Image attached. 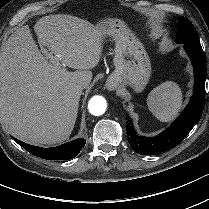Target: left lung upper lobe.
Masks as SVG:
<instances>
[{
	"label": "left lung upper lobe",
	"instance_id": "obj_1",
	"mask_svg": "<svg viewBox=\"0 0 209 209\" xmlns=\"http://www.w3.org/2000/svg\"><path fill=\"white\" fill-rule=\"evenodd\" d=\"M177 43L199 42L196 30L192 23L185 17H181L178 22Z\"/></svg>",
	"mask_w": 209,
	"mask_h": 209
}]
</instances>
